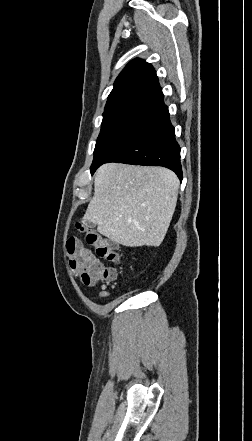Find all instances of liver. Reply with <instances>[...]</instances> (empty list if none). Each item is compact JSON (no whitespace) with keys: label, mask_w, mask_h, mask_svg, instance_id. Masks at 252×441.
Segmentation results:
<instances>
[{"label":"liver","mask_w":252,"mask_h":441,"mask_svg":"<svg viewBox=\"0 0 252 441\" xmlns=\"http://www.w3.org/2000/svg\"><path fill=\"white\" fill-rule=\"evenodd\" d=\"M180 182L164 167L104 164L96 171L94 195L84 222L123 246H159L175 211Z\"/></svg>","instance_id":"1"}]
</instances>
